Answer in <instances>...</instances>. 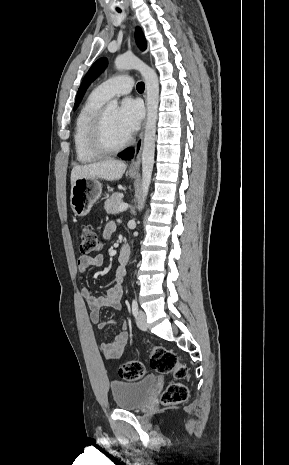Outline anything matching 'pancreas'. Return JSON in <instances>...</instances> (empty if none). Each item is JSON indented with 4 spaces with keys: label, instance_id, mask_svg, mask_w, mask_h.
<instances>
[{
    "label": "pancreas",
    "instance_id": "cf45deb5",
    "mask_svg": "<svg viewBox=\"0 0 289 465\" xmlns=\"http://www.w3.org/2000/svg\"><path fill=\"white\" fill-rule=\"evenodd\" d=\"M122 197L123 195L117 192L105 201L104 209L108 214H117L120 212L119 206L123 204Z\"/></svg>",
    "mask_w": 289,
    "mask_h": 465
}]
</instances>
